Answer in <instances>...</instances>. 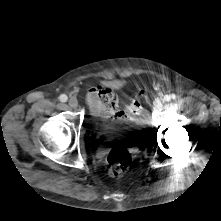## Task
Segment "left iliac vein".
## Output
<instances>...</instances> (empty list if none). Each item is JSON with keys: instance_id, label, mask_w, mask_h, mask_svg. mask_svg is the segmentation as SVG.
<instances>
[{"instance_id": "left-iliac-vein-1", "label": "left iliac vein", "mask_w": 221, "mask_h": 221, "mask_svg": "<svg viewBox=\"0 0 221 221\" xmlns=\"http://www.w3.org/2000/svg\"><path fill=\"white\" fill-rule=\"evenodd\" d=\"M163 107V101L160 99L155 100L154 102V109L161 110Z\"/></svg>"}]
</instances>
